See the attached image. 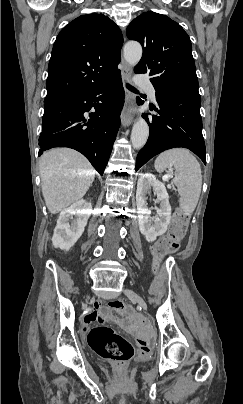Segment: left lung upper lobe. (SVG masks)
I'll use <instances>...</instances> for the list:
<instances>
[{"instance_id":"5c2ea615","label":"left lung upper lobe","mask_w":243,"mask_h":404,"mask_svg":"<svg viewBox=\"0 0 243 404\" xmlns=\"http://www.w3.org/2000/svg\"><path fill=\"white\" fill-rule=\"evenodd\" d=\"M126 32L130 40L140 42L143 48L135 73L151 76L156 90L199 94L191 41L178 23L149 11L135 18Z\"/></svg>"}]
</instances>
